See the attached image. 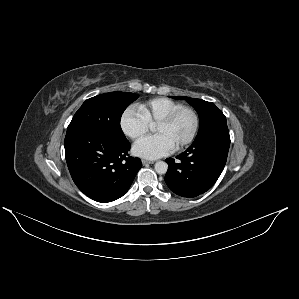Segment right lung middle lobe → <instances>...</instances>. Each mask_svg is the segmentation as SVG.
Returning <instances> with one entry per match:
<instances>
[{
  "label": "right lung middle lobe",
  "instance_id": "1",
  "mask_svg": "<svg viewBox=\"0 0 299 299\" xmlns=\"http://www.w3.org/2000/svg\"><path fill=\"white\" fill-rule=\"evenodd\" d=\"M137 98V94L130 92H110L87 99L73 116L67 130L93 128L124 139L120 119L128 105Z\"/></svg>",
  "mask_w": 299,
  "mask_h": 299
}]
</instances>
